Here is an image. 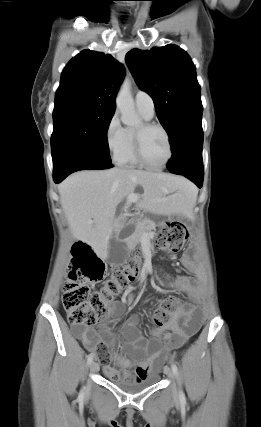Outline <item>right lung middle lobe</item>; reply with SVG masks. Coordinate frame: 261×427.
Returning a JSON list of instances; mask_svg holds the SVG:
<instances>
[{
    "label": "right lung middle lobe",
    "mask_w": 261,
    "mask_h": 427,
    "mask_svg": "<svg viewBox=\"0 0 261 427\" xmlns=\"http://www.w3.org/2000/svg\"><path fill=\"white\" fill-rule=\"evenodd\" d=\"M114 111L74 106L53 112V163L67 157L111 162L107 130Z\"/></svg>",
    "instance_id": "obj_1"
}]
</instances>
